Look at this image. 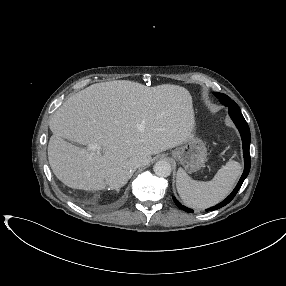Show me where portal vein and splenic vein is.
<instances>
[{
  "label": "portal vein and splenic vein",
  "mask_w": 286,
  "mask_h": 286,
  "mask_svg": "<svg viewBox=\"0 0 286 286\" xmlns=\"http://www.w3.org/2000/svg\"><path fill=\"white\" fill-rule=\"evenodd\" d=\"M97 149H99V148L96 145L90 144L88 146V150H90V151H96Z\"/></svg>",
  "instance_id": "1"
}]
</instances>
